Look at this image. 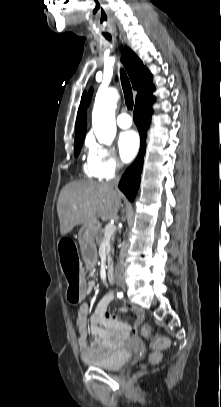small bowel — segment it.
<instances>
[{"instance_id":"c3829d8e","label":"small bowel","mask_w":221,"mask_h":407,"mask_svg":"<svg viewBox=\"0 0 221 407\" xmlns=\"http://www.w3.org/2000/svg\"><path fill=\"white\" fill-rule=\"evenodd\" d=\"M96 288L94 281H89L84 286V297ZM113 298V292L109 291L98 303L94 312L89 316L88 304L81 300L77 309V344L81 357L84 360L100 358L119 347L121 342L131 334L138 331L144 320V312L130 304H124L120 312L133 311L136 320L133 324L122 321L117 314L108 311V305ZM94 338L88 343V334Z\"/></svg>"}]
</instances>
